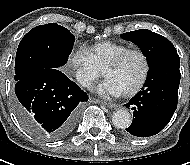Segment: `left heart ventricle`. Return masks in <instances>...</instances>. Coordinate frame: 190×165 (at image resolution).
<instances>
[{
    "label": "left heart ventricle",
    "mask_w": 190,
    "mask_h": 165,
    "mask_svg": "<svg viewBox=\"0 0 190 165\" xmlns=\"http://www.w3.org/2000/svg\"><path fill=\"white\" fill-rule=\"evenodd\" d=\"M143 61L137 54L129 55L121 65L109 69L105 77L112 80L122 92L132 88L141 78Z\"/></svg>",
    "instance_id": "obj_1"
}]
</instances>
